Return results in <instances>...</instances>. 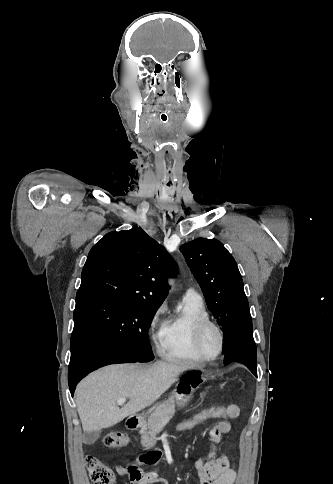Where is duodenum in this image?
<instances>
[{
	"label": "duodenum",
	"mask_w": 333,
	"mask_h": 484,
	"mask_svg": "<svg viewBox=\"0 0 333 484\" xmlns=\"http://www.w3.org/2000/svg\"><path fill=\"white\" fill-rule=\"evenodd\" d=\"M140 425V418L139 417H130L127 420V427L129 429H136Z\"/></svg>",
	"instance_id": "obj_1"
}]
</instances>
